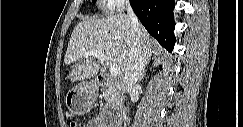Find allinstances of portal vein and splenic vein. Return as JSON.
Masks as SVG:
<instances>
[{
    "mask_svg": "<svg viewBox=\"0 0 243 127\" xmlns=\"http://www.w3.org/2000/svg\"><path fill=\"white\" fill-rule=\"evenodd\" d=\"M88 54L96 57L98 60H100L102 62L107 60L106 55L98 50H89ZM109 71H110L111 76H113V77H117L121 74L120 68L116 65L110 66Z\"/></svg>",
    "mask_w": 243,
    "mask_h": 127,
    "instance_id": "18ae733b",
    "label": "portal vein and splenic vein"
}]
</instances>
